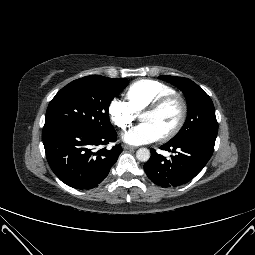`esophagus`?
<instances>
[{
	"label": "esophagus",
	"mask_w": 255,
	"mask_h": 255,
	"mask_svg": "<svg viewBox=\"0 0 255 255\" xmlns=\"http://www.w3.org/2000/svg\"><path fill=\"white\" fill-rule=\"evenodd\" d=\"M123 149H125V150H134L135 147L130 146V145H127V144H124V145H123Z\"/></svg>",
	"instance_id": "esophagus-1"
}]
</instances>
